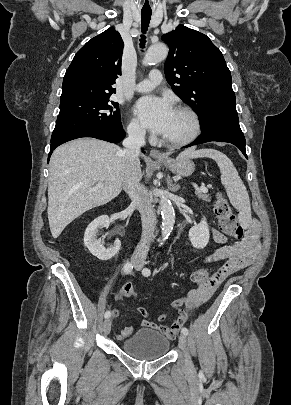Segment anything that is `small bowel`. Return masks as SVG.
I'll return each instance as SVG.
<instances>
[{"instance_id":"small-bowel-1","label":"small bowel","mask_w":291,"mask_h":405,"mask_svg":"<svg viewBox=\"0 0 291 405\" xmlns=\"http://www.w3.org/2000/svg\"><path fill=\"white\" fill-rule=\"evenodd\" d=\"M260 232L261 228L258 222L253 221L247 227L245 238L233 245H226L227 237L216 229H212V237L215 243L222 246L216 249L212 254L205 258V262L225 261L223 266L217 271L212 278L197 288L191 289L186 298H179L172 302L174 308L179 310V316L170 325H159L147 319V312L144 308H138L137 312L143 317L140 324L145 327H151L160 331L168 339H173L180 330V327L187 321L189 314L182 310L186 306L190 311L204 304L219 287V285L233 273L250 265L260 250ZM112 317L119 316V310L111 311ZM160 320L165 319L162 315ZM134 332L133 326L122 329L117 335L118 340L130 337Z\"/></svg>"}]
</instances>
